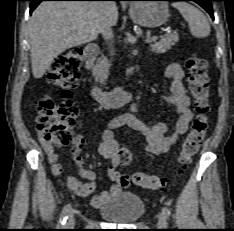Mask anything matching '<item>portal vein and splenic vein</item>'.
I'll return each instance as SVG.
<instances>
[{
  "label": "portal vein and splenic vein",
  "instance_id": "obj_1",
  "mask_svg": "<svg viewBox=\"0 0 234 231\" xmlns=\"http://www.w3.org/2000/svg\"><path fill=\"white\" fill-rule=\"evenodd\" d=\"M157 39H158V37H157V36H154V37L147 38V39L145 40V42H146V43H151V42L156 41Z\"/></svg>",
  "mask_w": 234,
  "mask_h": 231
}]
</instances>
